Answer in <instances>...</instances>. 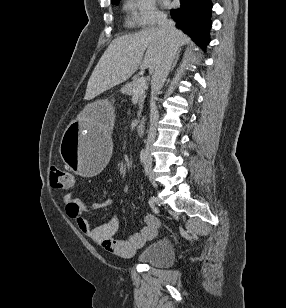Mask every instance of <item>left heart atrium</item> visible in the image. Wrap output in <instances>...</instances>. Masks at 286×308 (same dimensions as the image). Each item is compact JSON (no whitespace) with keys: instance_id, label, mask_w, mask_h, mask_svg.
I'll return each mask as SVG.
<instances>
[{"instance_id":"39dd6f15","label":"left heart atrium","mask_w":286,"mask_h":308,"mask_svg":"<svg viewBox=\"0 0 286 308\" xmlns=\"http://www.w3.org/2000/svg\"><path fill=\"white\" fill-rule=\"evenodd\" d=\"M163 1V3H165V4H167L168 3V0H162Z\"/></svg>"}]
</instances>
